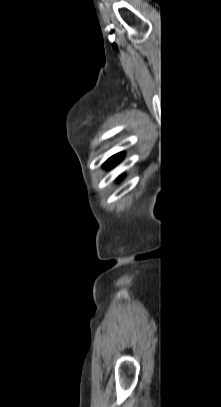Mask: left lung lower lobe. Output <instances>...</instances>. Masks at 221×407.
Segmentation results:
<instances>
[{
	"label": "left lung lower lobe",
	"mask_w": 221,
	"mask_h": 407,
	"mask_svg": "<svg viewBox=\"0 0 221 407\" xmlns=\"http://www.w3.org/2000/svg\"><path fill=\"white\" fill-rule=\"evenodd\" d=\"M123 158H124V153H118V154L112 156L111 158H109V159L105 162L104 167H106V168H112V167L115 166L117 163H119Z\"/></svg>",
	"instance_id": "0a47b994"
}]
</instances>
